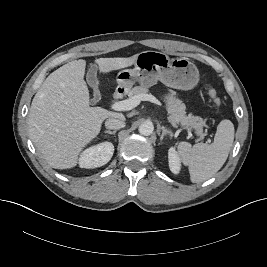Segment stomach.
<instances>
[{
    "label": "stomach",
    "instance_id": "obj_1",
    "mask_svg": "<svg viewBox=\"0 0 267 267\" xmlns=\"http://www.w3.org/2000/svg\"><path fill=\"white\" fill-rule=\"evenodd\" d=\"M134 66L117 74L118 88L125 93L130 91L135 82L148 88L161 81L174 89L190 90L199 81V71L189 59H170L162 52L143 51L136 55Z\"/></svg>",
    "mask_w": 267,
    "mask_h": 267
}]
</instances>
